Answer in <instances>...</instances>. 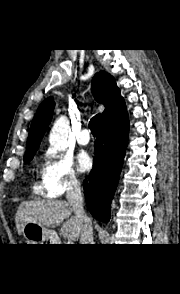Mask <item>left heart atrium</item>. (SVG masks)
I'll return each mask as SVG.
<instances>
[{"mask_svg": "<svg viewBox=\"0 0 180 294\" xmlns=\"http://www.w3.org/2000/svg\"><path fill=\"white\" fill-rule=\"evenodd\" d=\"M92 160L86 152H81L77 156V167L81 172L88 171L91 168Z\"/></svg>", "mask_w": 180, "mask_h": 294, "instance_id": "1", "label": "left heart atrium"}]
</instances>
